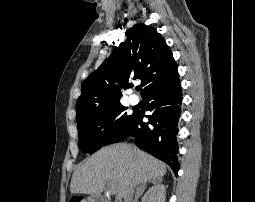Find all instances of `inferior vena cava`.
I'll return each mask as SVG.
<instances>
[{"label":"inferior vena cava","instance_id":"obj_1","mask_svg":"<svg viewBox=\"0 0 255 202\" xmlns=\"http://www.w3.org/2000/svg\"><path fill=\"white\" fill-rule=\"evenodd\" d=\"M144 185L145 183H141L139 184L137 187L136 186H133L129 189L128 193L125 195V202H131L132 198H133V195H134V192L136 190L135 193H137L138 191H141L144 189Z\"/></svg>","mask_w":255,"mask_h":202}]
</instances>
